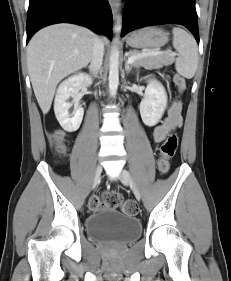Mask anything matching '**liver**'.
<instances>
[{
	"label": "liver",
	"instance_id": "liver-1",
	"mask_svg": "<svg viewBox=\"0 0 231 281\" xmlns=\"http://www.w3.org/2000/svg\"><path fill=\"white\" fill-rule=\"evenodd\" d=\"M97 36L73 24L51 25L38 31L27 48L31 84L44 114L48 113L58 83L91 61Z\"/></svg>",
	"mask_w": 231,
	"mask_h": 281
}]
</instances>
